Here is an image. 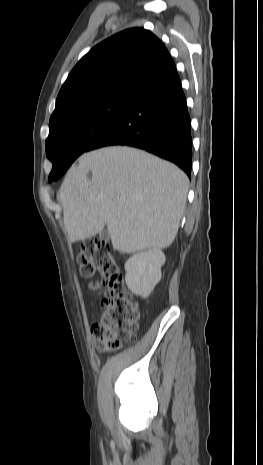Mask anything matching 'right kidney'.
Returning <instances> with one entry per match:
<instances>
[{"mask_svg":"<svg viewBox=\"0 0 263 465\" xmlns=\"http://www.w3.org/2000/svg\"><path fill=\"white\" fill-rule=\"evenodd\" d=\"M165 255L160 249H150L131 256L125 263L126 284L131 292L145 298L161 279Z\"/></svg>","mask_w":263,"mask_h":465,"instance_id":"obj_1","label":"right kidney"}]
</instances>
